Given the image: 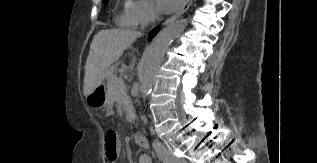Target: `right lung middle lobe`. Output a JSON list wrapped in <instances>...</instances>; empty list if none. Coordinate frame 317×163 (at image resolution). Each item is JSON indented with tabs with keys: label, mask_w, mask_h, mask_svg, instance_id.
Instances as JSON below:
<instances>
[{
	"label": "right lung middle lobe",
	"mask_w": 317,
	"mask_h": 163,
	"mask_svg": "<svg viewBox=\"0 0 317 163\" xmlns=\"http://www.w3.org/2000/svg\"><path fill=\"white\" fill-rule=\"evenodd\" d=\"M104 4H107L108 3V0H103Z\"/></svg>",
	"instance_id": "1"
}]
</instances>
